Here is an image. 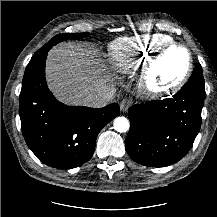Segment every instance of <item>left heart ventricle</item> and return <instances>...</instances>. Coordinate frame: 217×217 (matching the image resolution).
<instances>
[{
	"instance_id": "left-heart-ventricle-1",
	"label": "left heart ventricle",
	"mask_w": 217,
	"mask_h": 217,
	"mask_svg": "<svg viewBox=\"0 0 217 217\" xmlns=\"http://www.w3.org/2000/svg\"><path fill=\"white\" fill-rule=\"evenodd\" d=\"M187 54L180 49L166 53L157 65L152 75L156 87L163 88L173 83L186 69Z\"/></svg>"
}]
</instances>
